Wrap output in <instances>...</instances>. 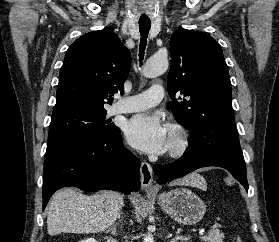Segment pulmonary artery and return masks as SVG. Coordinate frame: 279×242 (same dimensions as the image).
<instances>
[{
    "mask_svg": "<svg viewBox=\"0 0 279 242\" xmlns=\"http://www.w3.org/2000/svg\"><path fill=\"white\" fill-rule=\"evenodd\" d=\"M164 96L163 87L153 85L147 91L120 99L111 109L112 114L131 113L159 104Z\"/></svg>",
    "mask_w": 279,
    "mask_h": 242,
    "instance_id": "pulmonary-artery-1",
    "label": "pulmonary artery"
}]
</instances>
